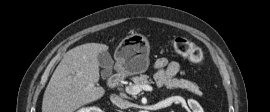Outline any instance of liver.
Returning <instances> with one entry per match:
<instances>
[{
	"label": "liver",
	"instance_id": "obj_1",
	"mask_svg": "<svg viewBox=\"0 0 270 112\" xmlns=\"http://www.w3.org/2000/svg\"><path fill=\"white\" fill-rule=\"evenodd\" d=\"M106 49V45L92 43L71 50L46 89L43 112H74L101 98L105 90L95 83L99 79L98 55Z\"/></svg>",
	"mask_w": 270,
	"mask_h": 112
}]
</instances>
